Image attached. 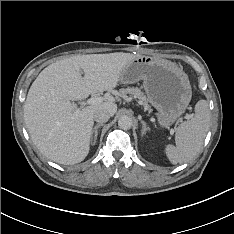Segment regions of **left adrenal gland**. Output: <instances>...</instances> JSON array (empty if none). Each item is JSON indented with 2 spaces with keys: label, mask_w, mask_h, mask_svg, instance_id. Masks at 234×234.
Segmentation results:
<instances>
[{
  "label": "left adrenal gland",
  "mask_w": 234,
  "mask_h": 234,
  "mask_svg": "<svg viewBox=\"0 0 234 234\" xmlns=\"http://www.w3.org/2000/svg\"><path fill=\"white\" fill-rule=\"evenodd\" d=\"M141 124H142V131H141V135H145L146 134V131H149L150 128L147 127L146 123L144 121H141Z\"/></svg>",
  "instance_id": "left-adrenal-gland-1"
}]
</instances>
